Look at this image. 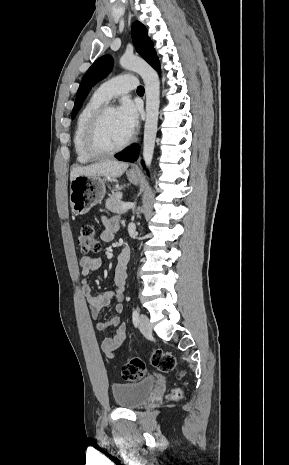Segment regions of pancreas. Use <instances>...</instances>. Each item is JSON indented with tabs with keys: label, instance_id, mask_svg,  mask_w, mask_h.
<instances>
[{
	"label": "pancreas",
	"instance_id": "cf45deb5",
	"mask_svg": "<svg viewBox=\"0 0 289 465\" xmlns=\"http://www.w3.org/2000/svg\"><path fill=\"white\" fill-rule=\"evenodd\" d=\"M122 193H114L107 200L105 207L109 211L117 214H123L127 210L122 208L123 202L121 201Z\"/></svg>",
	"mask_w": 289,
	"mask_h": 465
}]
</instances>
